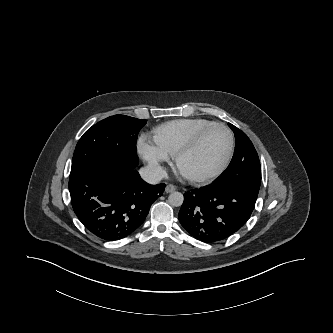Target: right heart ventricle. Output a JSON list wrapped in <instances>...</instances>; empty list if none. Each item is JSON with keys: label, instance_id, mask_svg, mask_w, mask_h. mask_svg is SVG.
<instances>
[{"label": "right heart ventricle", "instance_id": "e07e8e85", "mask_svg": "<svg viewBox=\"0 0 333 333\" xmlns=\"http://www.w3.org/2000/svg\"><path fill=\"white\" fill-rule=\"evenodd\" d=\"M213 123L215 122L205 118L172 120L153 130V140L160 150L172 156L200 130Z\"/></svg>", "mask_w": 333, "mask_h": 333}]
</instances>
